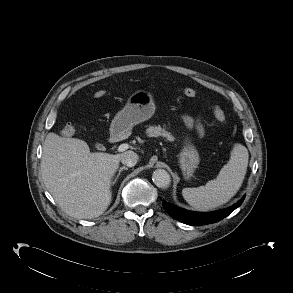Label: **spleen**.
<instances>
[{"label": "spleen", "mask_w": 293, "mask_h": 293, "mask_svg": "<svg viewBox=\"0 0 293 293\" xmlns=\"http://www.w3.org/2000/svg\"><path fill=\"white\" fill-rule=\"evenodd\" d=\"M249 154L245 146L235 144L230 160L214 180L205 186L184 188V199L198 210L214 209L227 203L240 189L246 175Z\"/></svg>", "instance_id": "spleen-1"}]
</instances>
